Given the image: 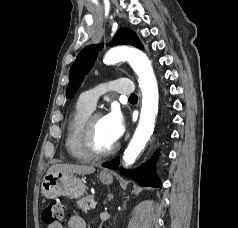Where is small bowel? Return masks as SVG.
Masks as SVG:
<instances>
[{
  "label": "small bowel",
  "instance_id": "c3829d8e",
  "mask_svg": "<svg viewBox=\"0 0 238 228\" xmlns=\"http://www.w3.org/2000/svg\"><path fill=\"white\" fill-rule=\"evenodd\" d=\"M47 228H64L62 224L48 225ZM68 228H85V221L79 215H72L68 218Z\"/></svg>",
  "mask_w": 238,
  "mask_h": 228
}]
</instances>
